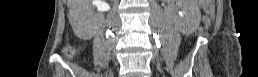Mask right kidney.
<instances>
[{
    "label": "right kidney",
    "mask_w": 258,
    "mask_h": 77,
    "mask_svg": "<svg viewBox=\"0 0 258 77\" xmlns=\"http://www.w3.org/2000/svg\"><path fill=\"white\" fill-rule=\"evenodd\" d=\"M92 2L95 4H102L107 7V5L100 0H92ZM72 27L76 34L84 40L92 38L97 28L94 23L89 22V20H86L85 17L79 16L78 14L76 15Z\"/></svg>",
    "instance_id": "obj_1"
}]
</instances>
